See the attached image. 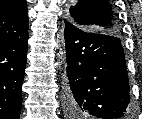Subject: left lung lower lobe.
<instances>
[{"instance_id": "1", "label": "left lung lower lobe", "mask_w": 142, "mask_h": 119, "mask_svg": "<svg viewBox=\"0 0 142 119\" xmlns=\"http://www.w3.org/2000/svg\"><path fill=\"white\" fill-rule=\"evenodd\" d=\"M64 22L67 107L97 119H126L131 112L130 88L120 39Z\"/></svg>"}]
</instances>
